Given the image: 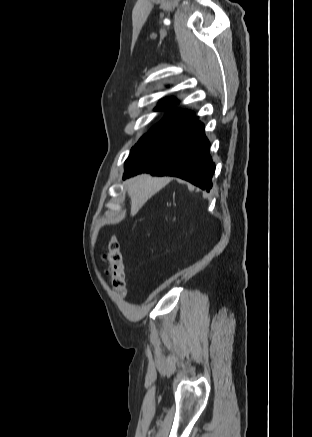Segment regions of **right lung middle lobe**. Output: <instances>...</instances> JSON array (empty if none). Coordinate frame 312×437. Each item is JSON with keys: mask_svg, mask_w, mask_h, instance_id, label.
Masks as SVG:
<instances>
[{"mask_svg": "<svg viewBox=\"0 0 312 437\" xmlns=\"http://www.w3.org/2000/svg\"><path fill=\"white\" fill-rule=\"evenodd\" d=\"M155 110H163V107ZM197 120L193 112L169 109L163 120L140 138L132 148L131 154L159 148L172 142L190 129Z\"/></svg>", "mask_w": 312, "mask_h": 437, "instance_id": "right-lung-middle-lobe-1", "label": "right lung middle lobe"}]
</instances>
